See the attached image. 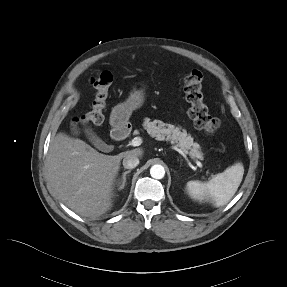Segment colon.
Here are the masks:
<instances>
[{
    "instance_id": "colon-1",
    "label": "colon",
    "mask_w": 287,
    "mask_h": 287,
    "mask_svg": "<svg viewBox=\"0 0 287 287\" xmlns=\"http://www.w3.org/2000/svg\"><path fill=\"white\" fill-rule=\"evenodd\" d=\"M202 81L203 75L197 70L189 71L184 76V92L189 103L188 115L195 128L207 135H213L221 127V121L210 114L205 102ZM89 82L94 87L95 97L91 110L84 116L72 120L71 125L74 132H78L80 124L100 125L105 118V109L113 83V76L108 71H102L91 76Z\"/></svg>"
}]
</instances>
